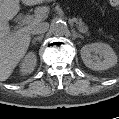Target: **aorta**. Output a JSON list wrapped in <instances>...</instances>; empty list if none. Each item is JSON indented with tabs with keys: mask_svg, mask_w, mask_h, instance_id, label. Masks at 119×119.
I'll return each instance as SVG.
<instances>
[{
	"mask_svg": "<svg viewBox=\"0 0 119 119\" xmlns=\"http://www.w3.org/2000/svg\"><path fill=\"white\" fill-rule=\"evenodd\" d=\"M51 31L55 36H64L68 33V27L65 22L57 20L51 23Z\"/></svg>",
	"mask_w": 119,
	"mask_h": 119,
	"instance_id": "762f6f07",
	"label": "aorta"
}]
</instances>
